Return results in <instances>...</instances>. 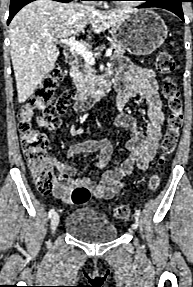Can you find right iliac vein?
<instances>
[{"label":"right iliac vein","mask_w":193,"mask_h":287,"mask_svg":"<svg viewBox=\"0 0 193 287\" xmlns=\"http://www.w3.org/2000/svg\"><path fill=\"white\" fill-rule=\"evenodd\" d=\"M58 224H59V214L58 213H54L52 218H51V223H50V226H51V233L54 234L57 227H58Z\"/></svg>","instance_id":"obj_1"}]
</instances>
